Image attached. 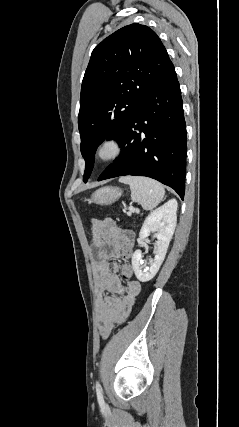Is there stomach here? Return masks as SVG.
<instances>
[{"instance_id":"stomach-1","label":"stomach","mask_w":239,"mask_h":427,"mask_svg":"<svg viewBox=\"0 0 239 427\" xmlns=\"http://www.w3.org/2000/svg\"><path fill=\"white\" fill-rule=\"evenodd\" d=\"M121 195L122 190L120 188L102 187L92 194L90 202L98 205H110L116 202Z\"/></svg>"}]
</instances>
